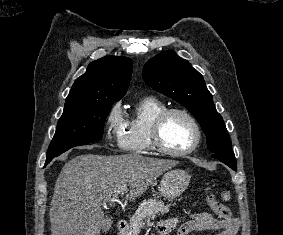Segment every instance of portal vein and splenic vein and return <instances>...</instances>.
I'll use <instances>...</instances> for the list:
<instances>
[{
    "label": "portal vein and splenic vein",
    "mask_w": 283,
    "mask_h": 235,
    "mask_svg": "<svg viewBox=\"0 0 283 235\" xmlns=\"http://www.w3.org/2000/svg\"><path fill=\"white\" fill-rule=\"evenodd\" d=\"M127 191L126 185H121L117 190H115L114 194L112 195V200L117 201L120 194H124Z\"/></svg>",
    "instance_id": "portal-vein-and-splenic-vein-1"
}]
</instances>
